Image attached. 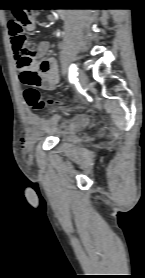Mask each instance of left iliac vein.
Segmentation results:
<instances>
[{
  "label": "left iliac vein",
  "instance_id": "1",
  "mask_svg": "<svg viewBox=\"0 0 145 278\" xmlns=\"http://www.w3.org/2000/svg\"><path fill=\"white\" fill-rule=\"evenodd\" d=\"M78 80H79V83L81 84V86L83 88H85V86L88 83V77H87V74L85 73L84 70H79V72H78Z\"/></svg>",
  "mask_w": 145,
  "mask_h": 278
}]
</instances>
